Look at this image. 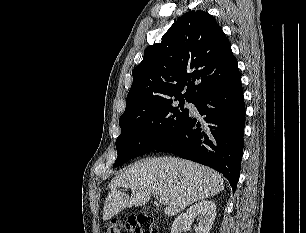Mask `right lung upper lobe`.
<instances>
[{
  "mask_svg": "<svg viewBox=\"0 0 306 233\" xmlns=\"http://www.w3.org/2000/svg\"><path fill=\"white\" fill-rule=\"evenodd\" d=\"M238 72L231 45L215 18L205 11H190L160 43L145 50L132 71L123 115L172 98L195 103Z\"/></svg>",
  "mask_w": 306,
  "mask_h": 233,
  "instance_id": "cb5924a9",
  "label": "right lung upper lobe"
}]
</instances>
